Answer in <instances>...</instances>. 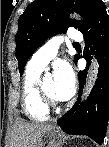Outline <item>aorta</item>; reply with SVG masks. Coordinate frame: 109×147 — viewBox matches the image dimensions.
<instances>
[{
  "label": "aorta",
  "instance_id": "1",
  "mask_svg": "<svg viewBox=\"0 0 109 147\" xmlns=\"http://www.w3.org/2000/svg\"><path fill=\"white\" fill-rule=\"evenodd\" d=\"M93 69V68H92ZM92 76H95V74H96V69H95V67H94V70H92ZM88 86L90 87L91 86V80L88 82Z\"/></svg>",
  "mask_w": 109,
  "mask_h": 147
}]
</instances>
